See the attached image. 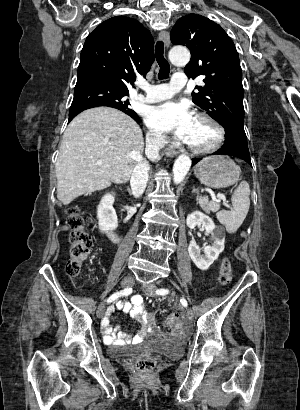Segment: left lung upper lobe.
<instances>
[{"label":"left lung upper lobe","mask_w":300,"mask_h":410,"mask_svg":"<svg viewBox=\"0 0 300 410\" xmlns=\"http://www.w3.org/2000/svg\"><path fill=\"white\" fill-rule=\"evenodd\" d=\"M174 45H185L191 60L185 73L193 79L204 75L205 85L196 86L193 102L223 127H244L242 70L235 45L215 22L201 15L180 18L170 33Z\"/></svg>","instance_id":"5c2ea615"}]
</instances>
